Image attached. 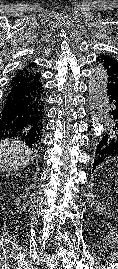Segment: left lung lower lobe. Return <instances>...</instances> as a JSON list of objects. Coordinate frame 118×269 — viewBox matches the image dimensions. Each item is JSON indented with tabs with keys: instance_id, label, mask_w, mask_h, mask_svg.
I'll return each instance as SVG.
<instances>
[{
	"instance_id": "left-lung-lower-lobe-1",
	"label": "left lung lower lobe",
	"mask_w": 118,
	"mask_h": 269,
	"mask_svg": "<svg viewBox=\"0 0 118 269\" xmlns=\"http://www.w3.org/2000/svg\"><path fill=\"white\" fill-rule=\"evenodd\" d=\"M105 131L96 150L92 172L104 160L118 156V94L107 91Z\"/></svg>"
}]
</instances>
